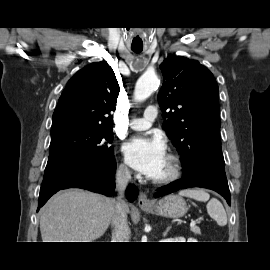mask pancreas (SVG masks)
Wrapping results in <instances>:
<instances>
[{
    "label": "pancreas",
    "instance_id": "cf45deb5",
    "mask_svg": "<svg viewBox=\"0 0 270 270\" xmlns=\"http://www.w3.org/2000/svg\"><path fill=\"white\" fill-rule=\"evenodd\" d=\"M191 231L194 232L195 234H200V228L197 226L191 227Z\"/></svg>",
    "mask_w": 270,
    "mask_h": 270
}]
</instances>
